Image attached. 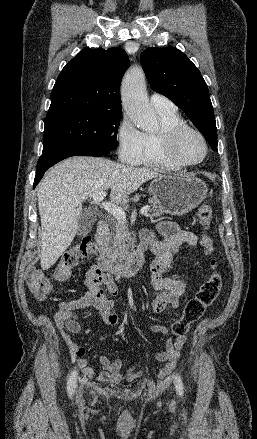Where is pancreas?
I'll return each instance as SVG.
<instances>
[{
  "label": "pancreas",
  "mask_w": 257,
  "mask_h": 439,
  "mask_svg": "<svg viewBox=\"0 0 257 439\" xmlns=\"http://www.w3.org/2000/svg\"><path fill=\"white\" fill-rule=\"evenodd\" d=\"M151 203V216L159 217L166 212L160 201L152 197L149 199ZM107 245L105 248V253L112 259L120 258L125 252V242H129L130 234L125 222H113L111 225V232L106 234Z\"/></svg>",
  "instance_id": "1"
}]
</instances>
